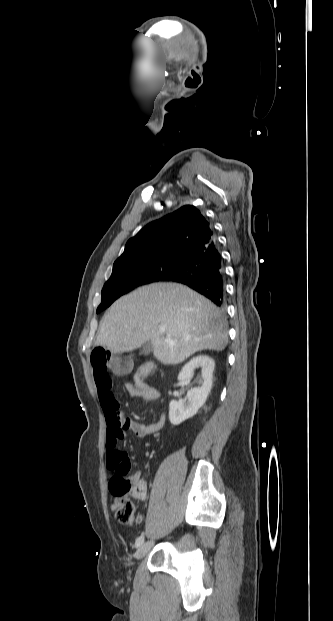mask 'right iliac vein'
Wrapping results in <instances>:
<instances>
[{
  "label": "right iliac vein",
  "mask_w": 333,
  "mask_h": 621,
  "mask_svg": "<svg viewBox=\"0 0 333 621\" xmlns=\"http://www.w3.org/2000/svg\"><path fill=\"white\" fill-rule=\"evenodd\" d=\"M152 546H153V541L145 542L141 546H139V548L137 549L135 553L136 559L137 560L142 559L149 552Z\"/></svg>",
  "instance_id": "1"
}]
</instances>
